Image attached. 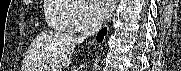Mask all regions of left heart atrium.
Listing matches in <instances>:
<instances>
[{"label": "left heart atrium", "mask_w": 181, "mask_h": 71, "mask_svg": "<svg viewBox=\"0 0 181 71\" xmlns=\"http://www.w3.org/2000/svg\"><path fill=\"white\" fill-rule=\"evenodd\" d=\"M88 4L93 13L98 18L107 17L113 10L115 1L113 0H88Z\"/></svg>", "instance_id": "left-heart-atrium-1"}]
</instances>
